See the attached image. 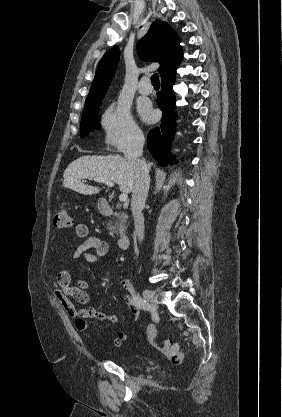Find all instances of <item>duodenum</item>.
<instances>
[{
    "label": "duodenum",
    "mask_w": 282,
    "mask_h": 417,
    "mask_svg": "<svg viewBox=\"0 0 282 417\" xmlns=\"http://www.w3.org/2000/svg\"><path fill=\"white\" fill-rule=\"evenodd\" d=\"M100 212L107 216H111L114 214V210L106 201H103L101 203ZM129 242H130V236L127 233H121L119 235L118 244H119L120 249L122 250L128 249Z\"/></svg>",
    "instance_id": "1"
}]
</instances>
